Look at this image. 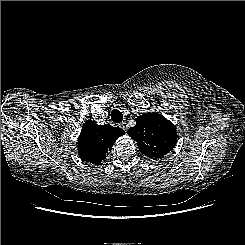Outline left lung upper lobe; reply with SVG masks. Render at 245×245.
<instances>
[{"label":"left lung upper lobe","instance_id":"5c2ea615","mask_svg":"<svg viewBox=\"0 0 245 245\" xmlns=\"http://www.w3.org/2000/svg\"><path fill=\"white\" fill-rule=\"evenodd\" d=\"M128 135L137 142L139 150L150 158H161L171 151L177 135L173 123L158 113H147L136 118V125Z\"/></svg>","mask_w":245,"mask_h":245}]
</instances>
